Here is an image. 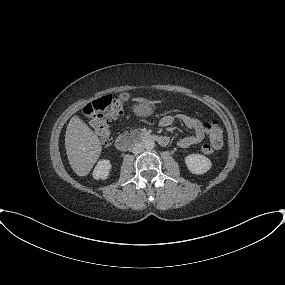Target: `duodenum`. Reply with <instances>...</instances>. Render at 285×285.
Returning <instances> with one entry per match:
<instances>
[{
    "label": "duodenum",
    "mask_w": 285,
    "mask_h": 285,
    "mask_svg": "<svg viewBox=\"0 0 285 285\" xmlns=\"http://www.w3.org/2000/svg\"><path fill=\"white\" fill-rule=\"evenodd\" d=\"M147 141H156L162 146L167 144V139L163 136L150 133L130 132L118 136L115 145L118 150L125 151L136 144Z\"/></svg>",
    "instance_id": "1"
}]
</instances>
